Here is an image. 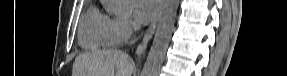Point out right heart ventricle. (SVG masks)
<instances>
[{
    "mask_svg": "<svg viewBox=\"0 0 287 76\" xmlns=\"http://www.w3.org/2000/svg\"><path fill=\"white\" fill-rule=\"evenodd\" d=\"M112 18L91 7L84 15L79 29V42L87 49L108 47L116 42L111 33Z\"/></svg>",
    "mask_w": 287,
    "mask_h": 76,
    "instance_id": "obj_1",
    "label": "right heart ventricle"
}]
</instances>
